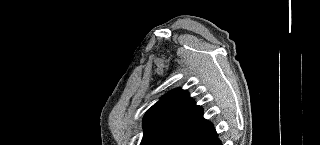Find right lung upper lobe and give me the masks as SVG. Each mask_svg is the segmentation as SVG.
<instances>
[{"label": "right lung upper lobe", "mask_w": 320, "mask_h": 145, "mask_svg": "<svg viewBox=\"0 0 320 145\" xmlns=\"http://www.w3.org/2000/svg\"><path fill=\"white\" fill-rule=\"evenodd\" d=\"M207 122L203 118V109L191 100L188 92L175 89L146 112L142 142L159 135L175 136Z\"/></svg>", "instance_id": "cb5924a9"}]
</instances>
